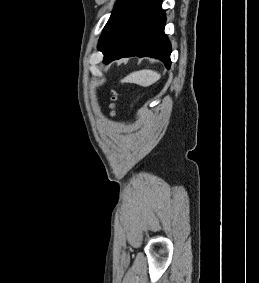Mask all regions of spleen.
I'll use <instances>...</instances> for the list:
<instances>
[{"instance_id": "3e777b00", "label": "spleen", "mask_w": 259, "mask_h": 283, "mask_svg": "<svg viewBox=\"0 0 259 283\" xmlns=\"http://www.w3.org/2000/svg\"><path fill=\"white\" fill-rule=\"evenodd\" d=\"M159 78H160L159 73L152 70L144 69L131 73L130 75L125 77L123 81L128 83H135L140 86L147 87L158 81Z\"/></svg>"}]
</instances>
